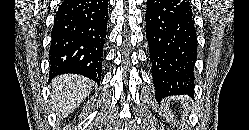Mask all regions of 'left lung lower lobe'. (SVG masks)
I'll use <instances>...</instances> for the list:
<instances>
[{
    "instance_id": "obj_1",
    "label": "left lung lower lobe",
    "mask_w": 249,
    "mask_h": 130,
    "mask_svg": "<svg viewBox=\"0 0 249 130\" xmlns=\"http://www.w3.org/2000/svg\"><path fill=\"white\" fill-rule=\"evenodd\" d=\"M146 37L155 97L194 93L197 37L187 0H147Z\"/></svg>"
}]
</instances>
